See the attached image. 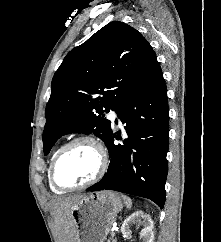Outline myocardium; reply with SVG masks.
I'll return each instance as SVG.
<instances>
[{
	"mask_svg": "<svg viewBox=\"0 0 221 242\" xmlns=\"http://www.w3.org/2000/svg\"><path fill=\"white\" fill-rule=\"evenodd\" d=\"M79 142L91 143L96 148V150L98 152V156H99V164H98L97 171L93 175L92 178H90L89 180H87L81 184L71 185V186L61 185L56 179L57 165H58L60 159L62 158V156L65 154V152L72 145L79 143ZM107 167H108V155H107L106 149L103 146V144L92 136L79 135V136L72 138L71 140H69L68 142H66L64 145H62L60 147V149L56 153V155L50 165L49 177H50V181H51L52 185L54 187H56L57 189H60L62 191L78 190V189L86 188V187L96 183L97 181H99L105 174Z\"/></svg>",
	"mask_w": 221,
	"mask_h": 242,
	"instance_id": "f54148a6",
	"label": "myocardium"
}]
</instances>
